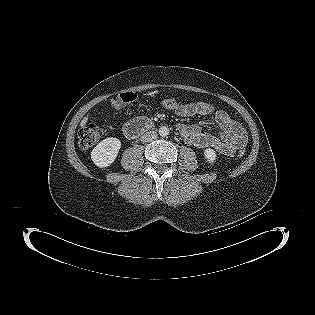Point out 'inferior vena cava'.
Listing matches in <instances>:
<instances>
[{
    "mask_svg": "<svg viewBox=\"0 0 315 315\" xmlns=\"http://www.w3.org/2000/svg\"><path fill=\"white\" fill-rule=\"evenodd\" d=\"M157 133L154 132V131H149V132H146L144 133L142 136H141V141L143 143H149V142H152L153 140H155L157 138Z\"/></svg>",
    "mask_w": 315,
    "mask_h": 315,
    "instance_id": "obj_1",
    "label": "inferior vena cava"
}]
</instances>
